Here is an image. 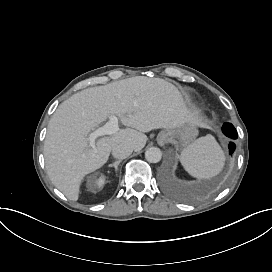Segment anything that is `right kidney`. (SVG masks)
<instances>
[{"label":"right kidney","instance_id":"obj_1","mask_svg":"<svg viewBox=\"0 0 272 272\" xmlns=\"http://www.w3.org/2000/svg\"><path fill=\"white\" fill-rule=\"evenodd\" d=\"M98 183H99V184H102V183H103V178H102V177L98 180Z\"/></svg>","mask_w":272,"mask_h":272}]
</instances>
